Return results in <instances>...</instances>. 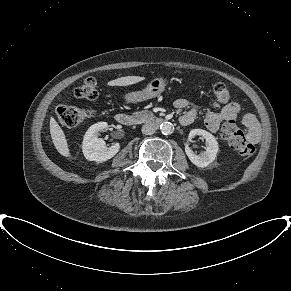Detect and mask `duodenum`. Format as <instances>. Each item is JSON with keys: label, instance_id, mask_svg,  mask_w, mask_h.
Segmentation results:
<instances>
[{"label": "duodenum", "instance_id": "duodenum-1", "mask_svg": "<svg viewBox=\"0 0 291 291\" xmlns=\"http://www.w3.org/2000/svg\"><path fill=\"white\" fill-rule=\"evenodd\" d=\"M116 121L121 124V125H125V126H129L133 123V118L132 116H130L129 114L126 113H118L115 116ZM151 121L155 124H160L163 120L161 118L158 117H153L151 118Z\"/></svg>", "mask_w": 291, "mask_h": 291}]
</instances>
